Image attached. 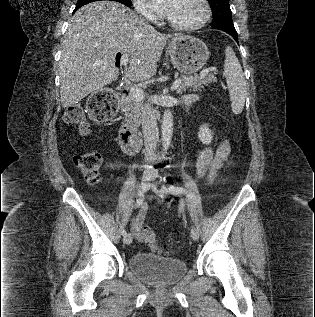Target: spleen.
<instances>
[{"instance_id":"3e777b00","label":"spleen","mask_w":315,"mask_h":317,"mask_svg":"<svg viewBox=\"0 0 315 317\" xmlns=\"http://www.w3.org/2000/svg\"><path fill=\"white\" fill-rule=\"evenodd\" d=\"M224 76L229 89L232 111L234 114H240L244 108L248 88L242 67L230 46L225 49Z\"/></svg>"}]
</instances>
